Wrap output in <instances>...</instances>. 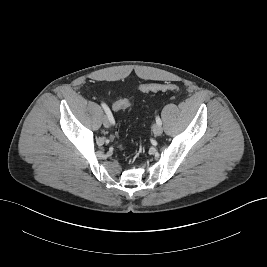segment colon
Wrapping results in <instances>:
<instances>
[{
  "mask_svg": "<svg viewBox=\"0 0 267 267\" xmlns=\"http://www.w3.org/2000/svg\"><path fill=\"white\" fill-rule=\"evenodd\" d=\"M139 89L143 92H156V91H166V90H178V86L175 84H142L139 85ZM131 107V103L126 100H120L113 104L112 108L114 110H125ZM118 124L114 126V131L118 133Z\"/></svg>",
  "mask_w": 267,
  "mask_h": 267,
  "instance_id": "obj_1",
  "label": "colon"
}]
</instances>
